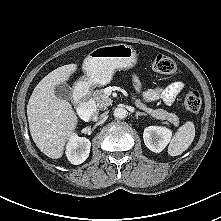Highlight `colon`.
Here are the masks:
<instances>
[{"mask_svg":"<svg viewBox=\"0 0 221 221\" xmlns=\"http://www.w3.org/2000/svg\"><path fill=\"white\" fill-rule=\"evenodd\" d=\"M153 69L161 74H173L176 71V63L169 56L157 55L152 63ZM202 100L197 90H190L184 97V106L190 113H197L201 109Z\"/></svg>","mask_w":221,"mask_h":221,"instance_id":"colon-1","label":"colon"}]
</instances>
